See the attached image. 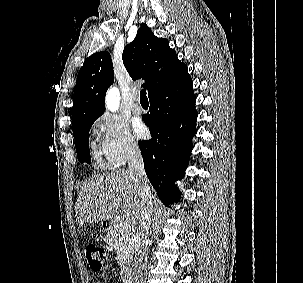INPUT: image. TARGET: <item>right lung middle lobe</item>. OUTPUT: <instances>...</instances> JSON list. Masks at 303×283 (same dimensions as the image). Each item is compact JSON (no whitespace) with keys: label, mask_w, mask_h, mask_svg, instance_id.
<instances>
[{"label":"right lung middle lobe","mask_w":303,"mask_h":283,"mask_svg":"<svg viewBox=\"0 0 303 283\" xmlns=\"http://www.w3.org/2000/svg\"><path fill=\"white\" fill-rule=\"evenodd\" d=\"M94 121H87L73 129L77 156L80 163H89L91 161L88 140L89 131Z\"/></svg>","instance_id":"obj_1"}]
</instances>
